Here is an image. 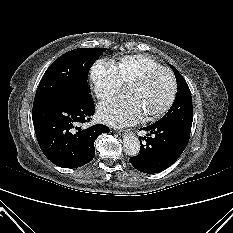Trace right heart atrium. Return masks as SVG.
Segmentation results:
<instances>
[{
    "mask_svg": "<svg viewBox=\"0 0 233 233\" xmlns=\"http://www.w3.org/2000/svg\"><path fill=\"white\" fill-rule=\"evenodd\" d=\"M90 79L99 100L112 97L124 87V82L115 64L105 59H100L94 63L90 71Z\"/></svg>",
    "mask_w": 233,
    "mask_h": 233,
    "instance_id": "right-heart-atrium-1",
    "label": "right heart atrium"
}]
</instances>
